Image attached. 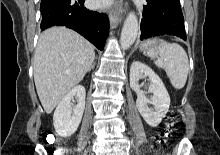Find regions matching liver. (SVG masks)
I'll return each mask as SVG.
<instances>
[{
    "instance_id": "obj_1",
    "label": "liver",
    "mask_w": 220,
    "mask_h": 155,
    "mask_svg": "<svg viewBox=\"0 0 220 155\" xmlns=\"http://www.w3.org/2000/svg\"><path fill=\"white\" fill-rule=\"evenodd\" d=\"M94 58L93 45L66 27L41 34L34 54V81L47 114L81 82Z\"/></svg>"
}]
</instances>
